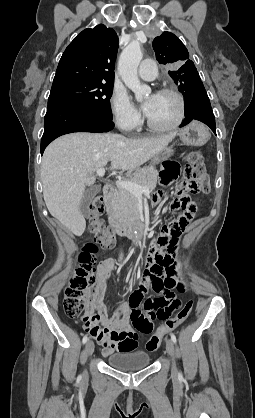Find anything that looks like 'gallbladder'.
I'll list each match as a JSON object with an SVG mask.
<instances>
[{
    "label": "gallbladder",
    "instance_id": "obj_1",
    "mask_svg": "<svg viewBox=\"0 0 255 418\" xmlns=\"http://www.w3.org/2000/svg\"><path fill=\"white\" fill-rule=\"evenodd\" d=\"M101 190V186L99 185H94L90 188H88L84 195L83 198L81 200V203L79 205V210L81 212V214L83 216H87L89 211H88V207L89 204L92 202V200L94 199V197L100 192Z\"/></svg>",
    "mask_w": 255,
    "mask_h": 418
}]
</instances>
